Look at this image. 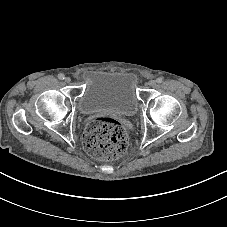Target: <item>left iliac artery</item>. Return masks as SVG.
<instances>
[{
  "instance_id": "left-iliac-artery-1",
  "label": "left iliac artery",
  "mask_w": 227,
  "mask_h": 227,
  "mask_svg": "<svg viewBox=\"0 0 227 227\" xmlns=\"http://www.w3.org/2000/svg\"><path fill=\"white\" fill-rule=\"evenodd\" d=\"M156 82H157V83H162V82H163V78H162V77H158V78L156 79Z\"/></svg>"
}]
</instances>
